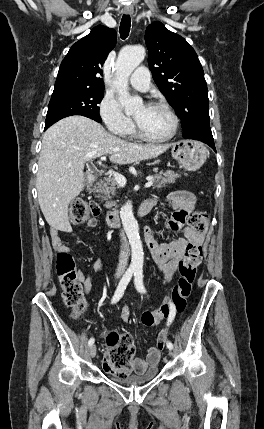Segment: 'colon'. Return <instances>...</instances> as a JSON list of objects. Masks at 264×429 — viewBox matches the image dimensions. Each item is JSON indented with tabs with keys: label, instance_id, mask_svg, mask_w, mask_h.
Segmentation results:
<instances>
[{
	"label": "colon",
	"instance_id": "5ec220e1",
	"mask_svg": "<svg viewBox=\"0 0 264 429\" xmlns=\"http://www.w3.org/2000/svg\"><path fill=\"white\" fill-rule=\"evenodd\" d=\"M100 213L99 206L94 202H87L82 198L75 199L70 206V219L73 223H83L91 215ZM188 223L192 229L203 232L208 223V216L203 212H194L189 215ZM202 259V248L200 245H192L185 252L184 258L179 262V278L173 286L171 302L177 313H182L187 305V300L191 293L192 283L195 280L197 267ZM56 271L62 288V296L65 304L72 309L74 319L83 317L87 302L84 296L83 287L78 280L76 263L72 255L67 251H60L57 254ZM171 305L161 304L154 311H147L142 314V323L147 327L159 324L168 317ZM165 335L159 334L157 347L161 350L164 347ZM108 355L105 363L109 373L119 377L128 376L131 373V363L135 354L133 340L128 334H118L111 332L106 337Z\"/></svg>",
	"mask_w": 264,
	"mask_h": 429
}]
</instances>
